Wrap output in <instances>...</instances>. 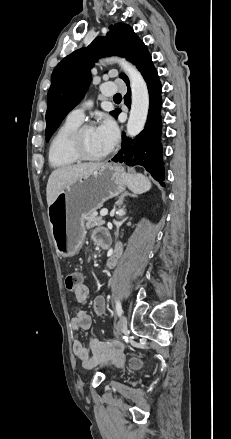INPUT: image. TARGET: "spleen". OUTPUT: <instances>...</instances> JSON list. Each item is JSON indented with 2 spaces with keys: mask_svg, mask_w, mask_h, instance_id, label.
Returning <instances> with one entry per match:
<instances>
[{
  "mask_svg": "<svg viewBox=\"0 0 231 439\" xmlns=\"http://www.w3.org/2000/svg\"><path fill=\"white\" fill-rule=\"evenodd\" d=\"M126 185L136 194H142L151 188L149 179L140 173H128L126 175Z\"/></svg>",
  "mask_w": 231,
  "mask_h": 439,
  "instance_id": "spleen-1",
  "label": "spleen"
}]
</instances>
